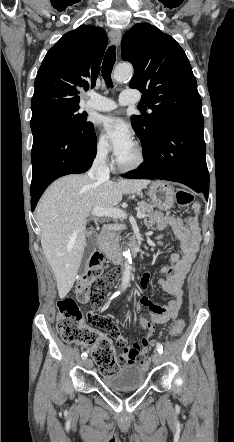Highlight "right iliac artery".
<instances>
[{
    "label": "right iliac artery",
    "instance_id": "82829eb1",
    "mask_svg": "<svg viewBox=\"0 0 234 442\" xmlns=\"http://www.w3.org/2000/svg\"><path fill=\"white\" fill-rule=\"evenodd\" d=\"M117 295H118V293H115L110 299L115 298ZM81 357L83 360H85L87 358V353H82Z\"/></svg>",
    "mask_w": 234,
    "mask_h": 442
}]
</instances>
